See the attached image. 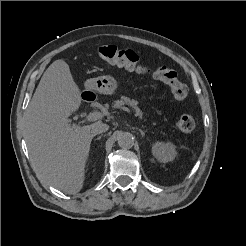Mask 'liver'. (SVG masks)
<instances>
[{"label": "liver", "mask_w": 246, "mask_h": 246, "mask_svg": "<svg viewBox=\"0 0 246 246\" xmlns=\"http://www.w3.org/2000/svg\"><path fill=\"white\" fill-rule=\"evenodd\" d=\"M81 101L69 65L56 60L44 72L25 120V140L36 174L68 194L83 187L92 140V125L69 123L68 117Z\"/></svg>", "instance_id": "obj_1"}]
</instances>
